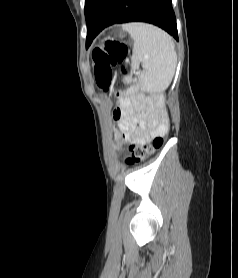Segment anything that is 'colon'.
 <instances>
[{"instance_id":"obj_1","label":"colon","mask_w":238,"mask_h":278,"mask_svg":"<svg viewBox=\"0 0 238 278\" xmlns=\"http://www.w3.org/2000/svg\"><path fill=\"white\" fill-rule=\"evenodd\" d=\"M128 48L126 45L108 40L96 46L91 53L94 63L95 79L98 87L103 91H109L113 81V68L121 65L126 60ZM163 143L161 136L154 137L151 145L131 144L125 161L134 164L143 160L154 149Z\"/></svg>"}]
</instances>
